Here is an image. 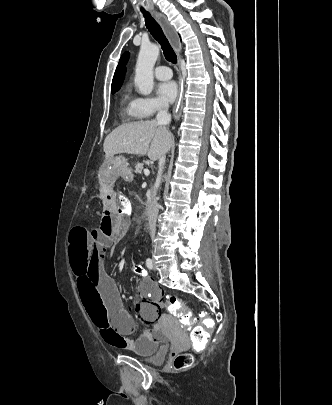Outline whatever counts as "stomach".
<instances>
[{"label": "stomach", "mask_w": 332, "mask_h": 405, "mask_svg": "<svg viewBox=\"0 0 332 405\" xmlns=\"http://www.w3.org/2000/svg\"><path fill=\"white\" fill-rule=\"evenodd\" d=\"M116 160V166H117V170L118 173H125L128 171V163H127V159L123 156H117L115 158H112Z\"/></svg>", "instance_id": "0dacf381"}]
</instances>
